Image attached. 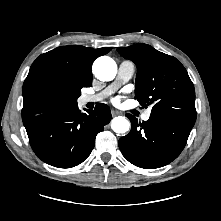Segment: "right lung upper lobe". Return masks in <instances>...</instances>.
Wrapping results in <instances>:
<instances>
[{
    "label": "right lung upper lobe",
    "instance_id": "obj_1",
    "mask_svg": "<svg viewBox=\"0 0 221 221\" xmlns=\"http://www.w3.org/2000/svg\"><path fill=\"white\" fill-rule=\"evenodd\" d=\"M110 50L70 45L40 55L23 84V121L71 103L73 87H90L94 60Z\"/></svg>",
    "mask_w": 221,
    "mask_h": 221
}]
</instances>
